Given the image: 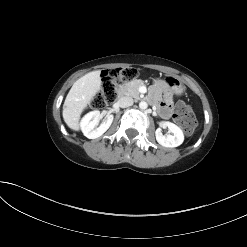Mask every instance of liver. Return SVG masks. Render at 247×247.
<instances>
[{"label":"liver","mask_w":247,"mask_h":247,"mask_svg":"<svg viewBox=\"0 0 247 247\" xmlns=\"http://www.w3.org/2000/svg\"><path fill=\"white\" fill-rule=\"evenodd\" d=\"M101 88L100 71H92L79 78L66 96L63 119L67 126L78 131L80 116Z\"/></svg>","instance_id":"obj_1"}]
</instances>
